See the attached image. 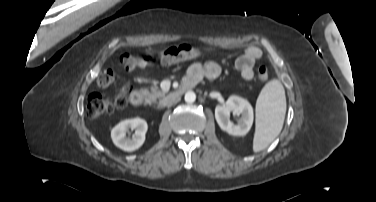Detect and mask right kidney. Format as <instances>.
Here are the masks:
<instances>
[{"label":"right kidney","mask_w":376,"mask_h":202,"mask_svg":"<svg viewBox=\"0 0 376 202\" xmlns=\"http://www.w3.org/2000/svg\"><path fill=\"white\" fill-rule=\"evenodd\" d=\"M135 130L132 138H127L126 133L130 130ZM148 125L144 119L133 118L126 119L118 123L111 131V138L113 143L120 149L132 152L139 149L144 141Z\"/></svg>","instance_id":"right-kidney-1"}]
</instances>
